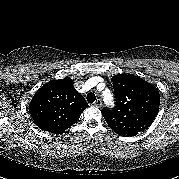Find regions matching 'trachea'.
Segmentation results:
<instances>
[{"instance_id": "obj_1", "label": "trachea", "mask_w": 179, "mask_h": 179, "mask_svg": "<svg viewBox=\"0 0 179 179\" xmlns=\"http://www.w3.org/2000/svg\"><path fill=\"white\" fill-rule=\"evenodd\" d=\"M96 100V96L94 93L90 92L87 94L88 103H93Z\"/></svg>"}]
</instances>
